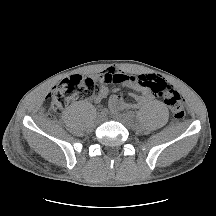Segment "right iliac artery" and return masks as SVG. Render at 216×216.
<instances>
[{
    "mask_svg": "<svg viewBox=\"0 0 216 216\" xmlns=\"http://www.w3.org/2000/svg\"><path fill=\"white\" fill-rule=\"evenodd\" d=\"M100 113L103 114V115H107L109 113L108 109L107 108H103L100 110Z\"/></svg>",
    "mask_w": 216,
    "mask_h": 216,
    "instance_id": "right-iliac-artery-1",
    "label": "right iliac artery"
}]
</instances>
